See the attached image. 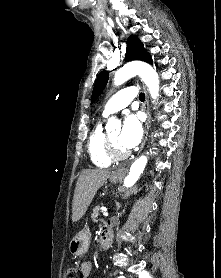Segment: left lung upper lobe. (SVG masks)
Returning <instances> with one entry per match:
<instances>
[{"mask_svg": "<svg viewBox=\"0 0 221 278\" xmlns=\"http://www.w3.org/2000/svg\"><path fill=\"white\" fill-rule=\"evenodd\" d=\"M131 60H142L147 63L152 64L153 61L150 58L149 53H147L146 49L142 42L137 38V36H130L127 41V50L125 54V61ZM109 78V73L104 70L102 71L94 85L92 97H91V104L99 97L103 89L105 88Z\"/></svg>", "mask_w": 221, "mask_h": 278, "instance_id": "left-lung-upper-lobe-1", "label": "left lung upper lobe"}]
</instances>
